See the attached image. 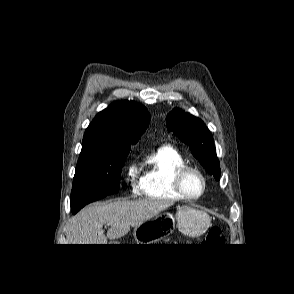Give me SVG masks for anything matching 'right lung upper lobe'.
<instances>
[{
	"mask_svg": "<svg viewBox=\"0 0 294 294\" xmlns=\"http://www.w3.org/2000/svg\"><path fill=\"white\" fill-rule=\"evenodd\" d=\"M150 121L148 110L133 101L113 102L99 112L83 138L82 150H131Z\"/></svg>",
	"mask_w": 294,
	"mask_h": 294,
	"instance_id": "obj_1",
	"label": "right lung upper lobe"
}]
</instances>
